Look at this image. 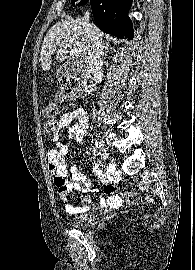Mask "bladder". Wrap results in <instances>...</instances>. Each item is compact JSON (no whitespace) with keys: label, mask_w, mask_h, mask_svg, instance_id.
I'll return each instance as SVG.
<instances>
[{"label":"bladder","mask_w":195,"mask_h":270,"mask_svg":"<svg viewBox=\"0 0 195 270\" xmlns=\"http://www.w3.org/2000/svg\"><path fill=\"white\" fill-rule=\"evenodd\" d=\"M96 214L93 211H85L75 216H72L68 223L70 226L77 229H87L94 225Z\"/></svg>","instance_id":"bladder-1"}]
</instances>
